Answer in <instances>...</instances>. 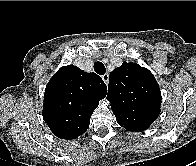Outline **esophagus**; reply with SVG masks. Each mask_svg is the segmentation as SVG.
<instances>
[{"label": "esophagus", "instance_id": "34e87169", "mask_svg": "<svg viewBox=\"0 0 196 166\" xmlns=\"http://www.w3.org/2000/svg\"><path fill=\"white\" fill-rule=\"evenodd\" d=\"M103 81L105 82L106 85L109 83V74L106 73L102 76Z\"/></svg>", "mask_w": 196, "mask_h": 166}]
</instances>
